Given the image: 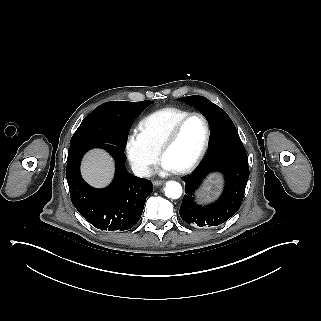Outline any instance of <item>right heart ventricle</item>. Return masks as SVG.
<instances>
[{"mask_svg":"<svg viewBox=\"0 0 321 321\" xmlns=\"http://www.w3.org/2000/svg\"><path fill=\"white\" fill-rule=\"evenodd\" d=\"M190 113L189 110L181 107L160 108L149 113L139 122L140 132L152 147L159 150L161 141L174 123Z\"/></svg>","mask_w":321,"mask_h":321,"instance_id":"e07e8e85","label":"right heart ventricle"}]
</instances>
